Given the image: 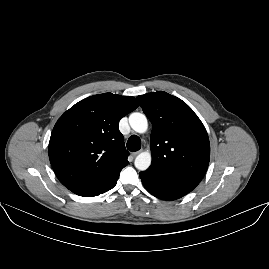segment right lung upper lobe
Segmentation results:
<instances>
[{
  "mask_svg": "<svg viewBox=\"0 0 269 269\" xmlns=\"http://www.w3.org/2000/svg\"><path fill=\"white\" fill-rule=\"evenodd\" d=\"M139 106L134 97L104 93L67 110L55 124L49 159L60 182L74 187L102 182L128 164L118 125Z\"/></svg>",
  "mask_w": 269,
  "mask_h": 269,
  "instance_id": "right-lung-upper-lobe-1",
  "label": "right lung upper lobe"
}]
</instances>
